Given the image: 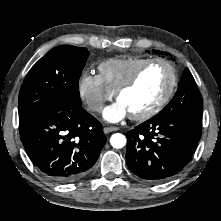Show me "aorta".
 Listing matches in <instances>:
<instances>
[{"instance_id": "obj_1", "label": "aorta", "mask_w": 221, "mask_h": 221, "mask_svg": "<svg viewBox=\"0 0 221 221\" xmlns=\"http://www.w3.org/2000/svg\"><path fill=\"white\" fill-rule=\"evenodd\" d=\"M126 137L121 133H115L110 138V144L113 148L120 149L126 145Z\"/></svg>"}]
</instances>
